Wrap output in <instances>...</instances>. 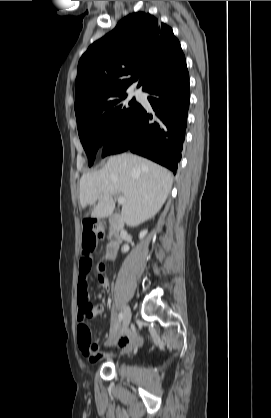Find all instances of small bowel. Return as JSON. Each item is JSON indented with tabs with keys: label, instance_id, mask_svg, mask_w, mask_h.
Listing matches in <instances>:
<instances>
[{
	"label": "small bowel",
	"instance_id": "c3829d8e",
	"mask_svg": "<svg viewBox=\"0 0 271 418\" xmlns=\"http://www.w3.org/2000/svg\"><path fill=\"white\" fill-rule=\"evenodd\" d=\"M89 259L82 257L79 263V282L77 290V301L79 312L77 315L78 326L81 323H91L93 327L98 325L96 317L101 316V309L98 305H94L93 299L90 297V290L87 289L88 274L90 271ZM102 285L107 288V281L102 278ZM110 341L115 342L119 347L128 350L133 343H138V338L132 333L129 332L124 337H115L113 332L110 336ZM82 354L90 361L96 362L101 358V354L97 350V346L93 345L90 348L83 347L80 345Z\"/></svg>",
	"mask_w": 271,
	"mask_h": 418
}]
</instances>
